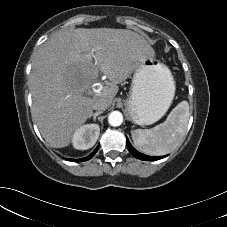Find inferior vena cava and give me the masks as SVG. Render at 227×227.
Masks as SVG:
<instances>
[{
	"label": "inferior vena cava",
	"mask_w": 227,
	"mask_h": 227,
	"mask_svg": "<svg viewBox=\"0 0 227 227\" xmlns=\"http://www.w3.org/2000/svg\"><path fill=\"white\" fill-rule=\"evenodd\" d=\"M92 108L94 110H98V111H102L103 112L104 110H106L108 108V105L104 101H97V102H95L93 104Z\"/></svg>",
	"instance_id": "inferior-vena-cava-1"
}]
</instances>
